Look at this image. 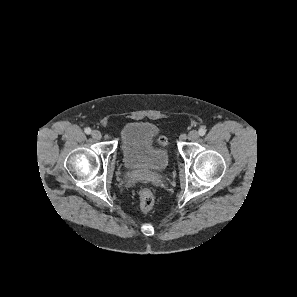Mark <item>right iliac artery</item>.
<instances>
[{
	"mask_svg": "<svg viewBox=\"0 0 297 297\" xmlns=\"http://www.w3.org/2000/svg\"><path fill=\"white\" fill-rule=\"evenodd\" d=\"M85 133H86V134H90V133H91V129H90L89 127L86 128V129H85Z\"/></svg>",
	"mask_w": 297,
	"mask_h": 297,
	"instance_id": "82829eb1",
	"label": "right iliac artery"
}]
</instances>
